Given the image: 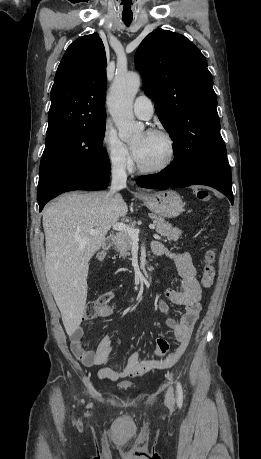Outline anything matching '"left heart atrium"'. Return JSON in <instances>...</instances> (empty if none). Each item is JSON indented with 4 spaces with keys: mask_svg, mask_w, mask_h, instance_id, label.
Instances as JSON below:
<instances>
[{
    "mask_svg": "<svg viewBox=\"0 0 261 459\" xmlns=\"http://www.w3.org/2000/svg\"><path fill=\"white\" fill-rule=\"evenodd\" d=\"M134 157L137 161L139 160L140 158V148L139 147L134 149Z\"/></svg>",
    "mask_w": 261,
    "mask_h": 459,
    "instance_id": "1",
    "label": "left heart atrium"
}]
</instances>
